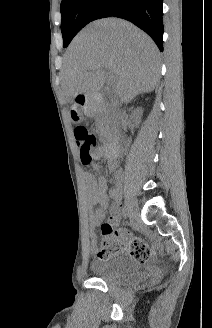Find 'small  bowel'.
I'll list each match as a JSON object with an SVG mask.
<instances>
[{"label":"small bowel","instance_id":"obj_1","mask_svg":"<svg viewBox=\"0 0 212 328\" xmlns=\"http://www.w3.org/2000/svg\"><path fill=\"white\" fill-rule=\"evenodd\" d=\"M100 152L96 154L99 156ZM99 170L98 168H96ZM117 179L120 181L121 174L117 173ZM84 192L87 204L91 207L99 205L100 208L96 210L91 216V226L96 228L99 225L108 224L111 228L118 225L121 217L120 209V188H116L108 191L106 180L102 175L97 177L92 174L86 173L83 176ZM110 199L113 200V204L109 207ZM107 212H109V222L103 223ZM117 243L114 251L107 258L101 257L98 249V241L95 234H92V249L97 253L98 258L108 259L111 257H125L130 256L134 260L140 261L143 253L149 251V248L144 242L135 237L131 232L125 229H121L116 232Z\"/></svg>","mask_w":212,"mask_h":328}]
</instances>
